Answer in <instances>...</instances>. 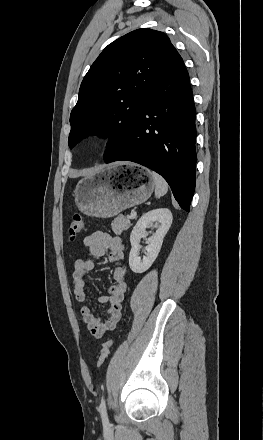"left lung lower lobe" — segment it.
Masks as SVG:
<instances>
[{"label":"left lung lower lobe","mask_w":263,"mask_h":440,"mask_svg":"<svg viewBox=\"0 0 263 440\" xmlns=\"http://www.w3.org/2000/svg\"><path fill=\"white\" fill-rule=\"evenodd\" d=\"M195 105L184 62L175 49L139 111L130 147L105 163L127 160L160 174L189 212L195 190Z\"/></svg>","instance_id":"left-lung-lower-lobe-1"}]
</instances>
